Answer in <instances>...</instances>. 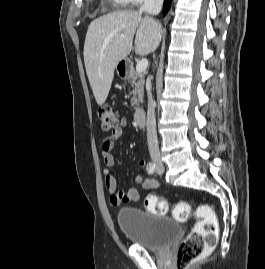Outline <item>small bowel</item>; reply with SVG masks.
I'll return each mask as SVG.
<instances>
[{"label":"small bowel","instance_id":"obj_1","mask_svg":"<svg viewBox=\"0 0 265 269\" xmlns=\"http://www.w3.org/2000/svg\"><path fill=\"white\" fill-rule=\"evenodd\" d=\"M128 124L127 120L123 118L120 126L112 131L111 136L105 138L101 144V152L105 163L103 173L105 175V185L108 192L111 194L110 202L114 206H119L123 202H136L140 199V192L138 185H141L146 190H155L159 187V183L152 177H147L139 174L136 177V184L129 187L127 190L117 191V183L115 178L110 173V168L115 164V157L113 155V148L115 141L118 140L123 134V128ZM138 166L143 168L146 165L145 159L138 160Z\"/></svg>","mask_w":265,"mask_h":269}]
</instances>
